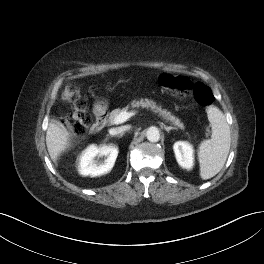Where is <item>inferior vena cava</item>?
<instances>
[{
  "label": "inferior vena cava",
  "instance_id": "1",
  "mask_svg": "<svg viewBox=\"0 0 264 264\" xmlns=\"http://www.w3.org/2000/svg\"><path fill=\"white\" fill-rule=\"evenodd\" d=\"M127 128H128V127H126V126H121V127L111 128V129L109 130V133H110L111 135H117V134H120L121 132L127 130Z\"/></svg>",
  "mask_w": 264,
  "mask_h": 264
}]
</instances>
